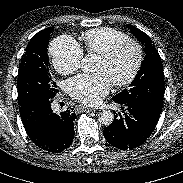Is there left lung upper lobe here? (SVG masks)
<instances>
[{"label":"left lung upper lobe","mask_w":183,"mask_h":183,"mask_svg":"<svg viewBox=\"0 0 183 183\" xmlns=\"http://www.w3.org/2000/svg\"><path fill=\"white\" fill-rule=\"evenodd\" d=\"M126 27L145 45L146 56L130 88L115 95L113 100L138 103L160 114L165 90L161 57L147 34L129 24Z\"/></svg>","instance_id":"obj_1"}]
</instances>
